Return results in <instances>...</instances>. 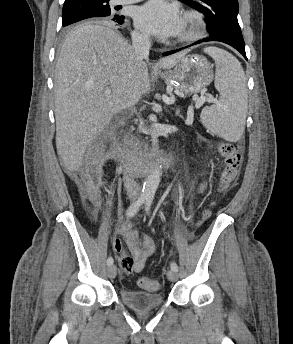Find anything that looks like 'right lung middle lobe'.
I'll use <instances>...</instances> for the list:
<instances>
[{
  "label": "right lung middle lobe",
  "instance_id": "1",
  "mask_svg": "<svg viewBox=\"0 0 293 344\" xmlns=\"http://www.w3.org/2000/svg\"><path fill=\"white\" fill-rule=\"evenodd\" d=\"M108 2L109 0H81L64 4L63 27L86 19L112 17Z\"/></svg>",
  "mask_w": 293,
  "mask_h": 344
}]
</instances>
